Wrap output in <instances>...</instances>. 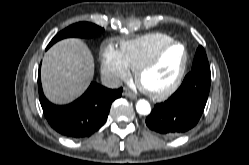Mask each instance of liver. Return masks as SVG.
Masks as SVG:
<instances>
[{
	"instance_id": "6515ba94",
	"label": "liver",
	"mask_w": 249,
	"mask_h": 165,
	"mask_svg": "<svg viewBox=\"0 0 249 165\" xmlns=\"http://www.w3.org/2000/svg\"><path fill=\"white\" fill-rule=\"evenodd\" d=\"M94 75V60L87 45L68 38L45 54L41 68L43 91L55 104H67L81 96Z\"/></svg>"
}]
</instances>
